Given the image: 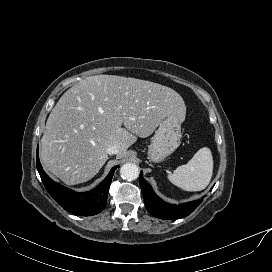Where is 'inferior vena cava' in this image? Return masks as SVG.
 I'll use <instances>...</instances> for the list:
<instances>
[{
  "instance_id": "inferior-vena-cava-1",
  "label": "inferior vena cava",
  "mask_w": 272,
  "mask_h": 272,
  "mask_svg": "<svg viewBox=\"0 0 272 272\" xmlns=\"http://www.w3.org/2000/svg\"><path fill=\"white\" fill-rule=\"evenodd\" d=\"M106 151L109 155L117 154L119 152V146L111 145L106 149Z\"/></svg>"
}]
</instances>
